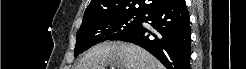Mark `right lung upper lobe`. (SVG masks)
<instances>
[{
    "label": "right lung upper lobe",
    "instance_id": "right-lung-upper-lobe-1",
    "mask_svg": "<svg viewBox=\"0 0 246 69\" xmlns=\"http://www.w3.org/2000/svg\"><path fill=\"white\" fill-rule=\"evenodd\" d=\"M146 1V2H145ZM165 0H91L83 22L121 14H143Z\"/></svg>",
    "mask_w": 246,
    "mask_h": 69
}]
</instances>
